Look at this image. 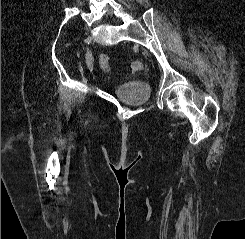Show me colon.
<instances>
[{
	"label": "colon",
	"mask_w": 245,
	"mask_h": 239,
	"mask_svg": "<svg viewBox=\"0 0 245 239\" xmlns=\"http://www.w3.org/2000/svg\"><path fill=\"white\" fill-rule=\"evenodd\" d=\"M99 63L103 69L107 70L109 69V66H110V58L107 55H101L99 57Z\"/></svg>",
	"instance_id": "colon-1"
}]
</instances>
